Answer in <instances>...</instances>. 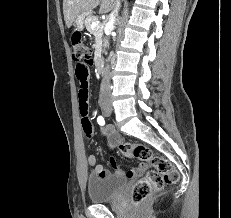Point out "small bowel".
I'll use <instances>...</instances> for the list:
<instances>
[{"label": "small bowel", "instance_id": "1", "mask_svg": "<svg viewBox=\"0 0 231 218\" xmlns=\"http://www.w3.org/2000/svg\"><path fill=\"white\" fill-rule=\"evenodd\" d=\"M89 65H93V60H84L83 63L76 64V77L80 83L79 88V107L82 116L84 117L82 121L83 131L87 136H91L93 133L92 124L88 118L89 111V74L91 70ZM104 134L108 138V144L110 147H115L120 144L121 137L120 135L113 130L111 127H107L103 130ZM87 163L93 168V172L99 176H108L110 172L105 169L101 164H98L97 158L95 155H89L87 158ZM110 164L115 169V173L119 176H125L127 178H133L138 175H141L147 169L146 163H139L137 167L122 170L117 167L116 161L113 157L110 158Z\"/></svg>", "mask_w": 231, "mask_h": 218}]
</instances>
